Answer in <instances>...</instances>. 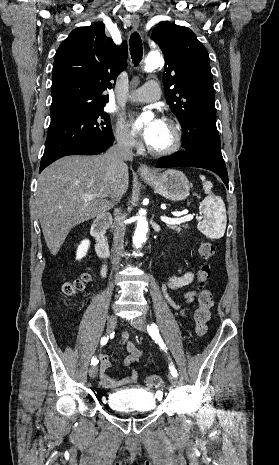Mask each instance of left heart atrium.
Here are the masks:
<instances>
[{
	"label": "left heart atrium",
	"instance_id": "1",
	"mask_svg": "<svg viewBox=\"0 0 279 465\" xmlns=\"http://www.w3.org/2000/svg\"><path fill=\"white\" fill-rule=\"evenodd\" d=\"M160 124V120H154L141 131V135L147 143L151 140L155 130L159 127Z\"/></svg>",
	"mask_w": 279,
	"mask_h": 465
}]
</instances>
